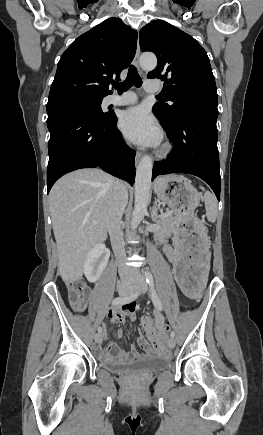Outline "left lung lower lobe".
Returning a JSON list of instances; mask_svg holds the SVG:
<instances>
[{
    "label": "left lung lower lobe",
    "mask_w": 263,
    "mask_h": 435,
    "mask_svg": "<svg viewBox=\"0 0 263 435\" xmlns=\"http://www.w3.org/2000/svg\"><path fill=\"white\" fill-rule=\"evenodd\" d=\"M215 118L185 116L166 126L174 149L165 161L154 164L152 180L175 172L193 174L203 179L220 200V172Z\"/></svg>",
    "instance_id": "obj_1"
}]
</instances>
